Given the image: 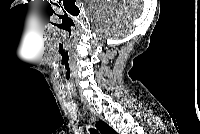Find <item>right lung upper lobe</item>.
Here are the masks:
<instances>
[{"mask_svg":"<svg viewBox=\"0 0 200 134\" xmlns=\"http://www.w3.org/2000/svg\"><path fill=\"white\" fill-rule=\"evenodd\" d=\"M97 127L102 134H113L115 131L105 122L99 121L97 122Z\"/></svg>","mask_w":200,"mask_h":134,"instance_id":"obj_1","label":"right lung upper lobe"}]
</instances>
